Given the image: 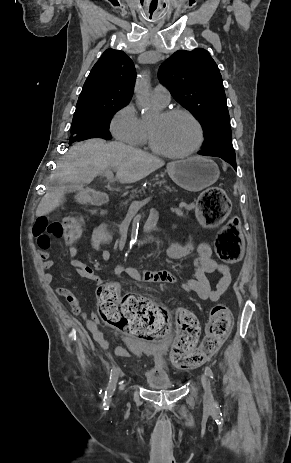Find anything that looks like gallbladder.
Listing matches in <instances>:
<instances>
[{
	"label": "gallbladder",
	"mask_w": 291,
	"mask_h": 463,
	"mask_svg": "<svg viewBox=\"0 0 291 463\" xmlns=\"http://www.w3.org/2000/svg\"><path fill=\"white\" fill-rule=\"evenodd\" d=\"M65 187H66V189H67L68 191H75V190H77V187H76L74 184H72V183L66 184Z\"/></svg>",
	"instance_id": "obj_1"
}]
</instances>
